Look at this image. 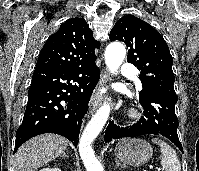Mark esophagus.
I'll use <instances>...</instances> for the list:
<instances>
[{
	"label": "esophagus",
	"instance_id": "obj_1",
	"mask_svg": "<svg viewBox=\"0 0 199 171\" xmlns=\"http://www.w3.org/2000/svg\"><path fill=\"white\" fill-rule=\"evenodd\" d=\"M108 81H109V73H108L107 69H103L101 72V76H100L98 85H97L96 89L94 90V92L91 96V99L89 101L90 114H93L97 110V108L100 104L99 89L101 87L105 86L108 83Z\"/></svg>",
	"mask_w": 199,
	"mask_h": 171
}]
</instances>
